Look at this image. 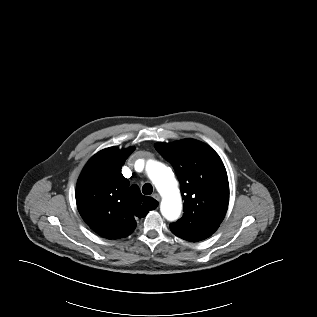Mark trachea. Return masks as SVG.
Returning <instances> with one entry per match:
<instances>
[{"mask_svg": "<svg viewBox=\"0 0 317 317\" xmlns=\"http://www.w3.org/2000/svg\"><path fill=\"white\" fill-rule=\"evenodd\" d=\"M142 192L143 194L146 195H150L153 192V187L150 183H146L143 187H142Z\"/></svg>", "mask_w": 317, "mask_h": 317, "instance_id": "trachea-1", "label": "trachea"}]
</instances>
